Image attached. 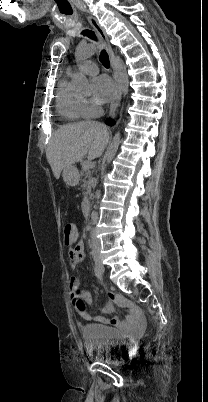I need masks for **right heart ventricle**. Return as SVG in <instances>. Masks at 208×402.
<instances>
[{
  "label": "right heart ventricle",
  "mask_w": 208,
  "mask_h": 402,
  "mask_svg": "<svg viewBox=\"0 0 208 402\" xmlns=\"http://www.w3.org/2000/svg\"><path fill=\"white\" fill-rule=\"evenodd\" d=\"M72 73L68 72V76ZM82 95L72 92L69 89L67 78L60 81L57 91L56 107L60 116L64 118L68 125L79 126L85 123L83 115Z\"/></svg>",
  "instance_id": "e07e8e85"
}]
</instances>
